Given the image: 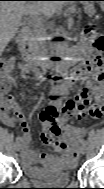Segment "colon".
I'll list each match as a JSON object with an SVG mask.
<instances>
[{
  "instance_id": "colon-1",
  "label": "colon",
  "mask_w": 104,
  "mask_h": 189,
  "mask_svg": "<svg viewBox=\"0 0 104 189\" xmlns=\"http://www.w3.org/2000/svg\"><path fill=\"white\" fill-rule=\"evenodd\" d=\"M84 38L89 41L95 51L92 63V72L97 80L103 78V67L101 53L104 51V36L95 33L92 29L88 28L84 31ZM21 65V62L13 59L3 60V67L5 70H9L14 66ZM10 84L6 79V76L0 82L1 93V107L3 109L8 108L13 103V98L9 95L8 91ZM78 106L71 100L62 104H49L43 109L39 115L40 122L43 125L41 134L42 141L59 152H67L71 148L69 138L61 135V130L57 120L65 114L75 112ZM89 112L94 115L102 116L103 109L101 105H94L88 108ZM99 117V118H100Z\"/></svg>"
}]
</instances>
